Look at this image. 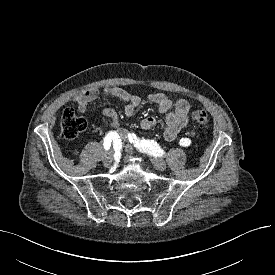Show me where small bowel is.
Wrapping results in <instances>:
<instances>
[{
	"label": "small bowel",
	"instance_id": "c3829d8e",
	"mask_svg": "<svg viewBox=\"0 0 275 275\" xmlns=\"http://www.w3.org/2000/svg\"><path fill=\"white\" fill-rule=\"evenodd\" d=\"M101 94L124 101L126 103L124 106V114L128 117L135 113L141 103V99L138 96L119 87H107L104 89L96 87L87 88L73 95L71 102L77 106L80 112H85L89 103L96 100ZM149 100L157 105L161 113L165 114L163 134L167 140L175 139L181 130L189 126L188 113L190 104L187 100L179 99L173 102L163 93L151 94ZM102 114L110 119V132L117 133L120 140L127 142V150L131 151L132 145L128 137L129 134L126 130L119 127L117 112L111 108H105L102 110ZM140 126L143 130H150L157 126V120L152 116L145 117L141 121Z\"/></svg>",
	"mask_w": 275,
	"mask_h": 275
}]
</instances>
